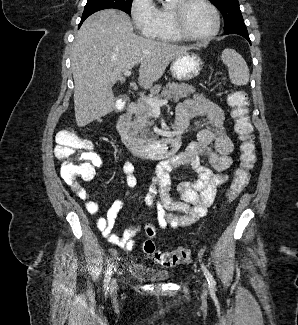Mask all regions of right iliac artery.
Returning <instances> with one entry per match:
<instances>
[{
  "mask_svg": "<svg viewBox=\"0 0 298 325\" xmlns=\"http://www.w3.org/2000/svg\"><path fill=\"white\" fill-rule=\"evenodd\" d=\"M111 274H112V267H109V270H107L106 274H105V278H104V289L105 290H108L109 287V282H110V279H111Z\"/></svg>",
  "mask_w": 298,
  "mask_h": 325,
  "instance_id": "1",
  "label": "right iliac artery"
}]
</instances>
